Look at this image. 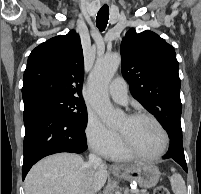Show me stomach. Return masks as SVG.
<instances>
[{"instance_id": "obj_1", "label": "stomach", "mask_w": 201, "mask_h": 194, "mask_svg": "<svg viewBox=\"0 0 201 194\" xmlns=\"http://www.w3.org/2000/svg\"><path fill=\"white\" fill-rule=\"evenodd\" d=\"M118 175L128 181H135L140 187H154L160 177L159 169L152 164L143 163L138 165H127L120 167Z\"/></svg>"}]
</instances>
